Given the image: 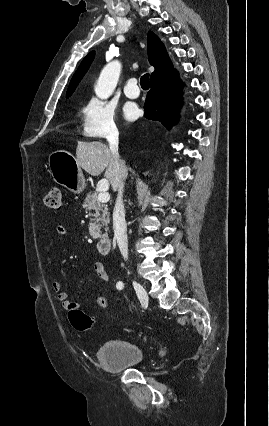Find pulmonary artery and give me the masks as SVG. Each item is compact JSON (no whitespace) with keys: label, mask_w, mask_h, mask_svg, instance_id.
<instances>
[{"label":"pulmonary artery","mask_w":269,"mask_h":426,"mask_svg":"<svg viewBox=\"0 0 269 426\" xmlns=\"http://www.w3.org/2000/svg\"><path fill=\"white\" fill-rule=\"evenodd\" d=\"M124 93L128 98H137L140 95L139 87L137 86V79L136 78H130L126 82V85L124 86Z\"/></svg>","instance_id":"obj_1"}]
</instances>
